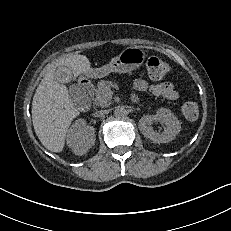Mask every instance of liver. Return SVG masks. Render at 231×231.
Returning a JSON list of instances; mask_svg holds the SVG:
<instances>
[{
    "label": "liver",
    "mask_w": 231,
    "mask_h": 231,
    "mask_svg": "<svg viewBox=\"0 0 231 231\" xmlns=\"http://www.w3.org/2000/svg\"><path fill=\"white\" fill-rule=\"evenodd\" d=\"M113 58L112 60H114ZM66 69L78 77L91 69L85 55H72L61 60L38 85L32 101V121L35 132L45 148L61 152L72 120L79 115L68 89L56 79L55 68Z\"/></svg>",
    "instance_id": "liver-1"
}]
</instances>
